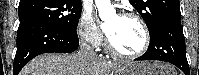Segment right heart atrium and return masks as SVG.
Here are the masks:
<instances>
[{"mask_svg":"<svg viewBox=\"0 0 199 75\" xmlns=\"http://www.w3.org/2000/svg\"><path fill=\"white\" fill-rule=\"evenodd\" d=\"M78 34L88 46L96 48L103 39L98 24L90 12H84L78 24Z\"/></svg>","mask_w":199,"mask_h":75,"instance_id":"1","label":"right heart atrium"}]
</instances>
